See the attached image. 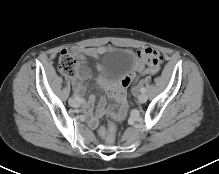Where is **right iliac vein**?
<instances>
[{
  "instance_id": "right-iliac-vein-1",
  "label": "right iliac vein",
  "mask_w": 219,
  "mask_h": 174,
  "mask_svg": "<svg viewBox=\"0 0 219 174\" xmlns=\"http://www.w3.org/2000/svg\"><path fill=\"white\" fill-rule=\"evenodd\" d=\"M68 102H69V104H70V106H72V107H78L79 106V103H78V101L75 99V98H70L69 100H68Z\"/></svg>"
}]
</instances>
